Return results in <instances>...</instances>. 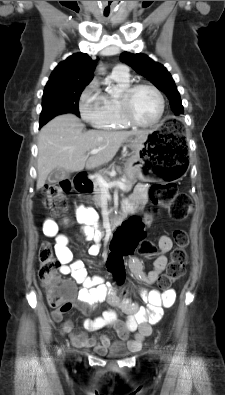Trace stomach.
Masks as SVG:
<instances>
[{
    "label": "stomach",
    "instance_id": "0dacf381",
    "mask_svg": "<svg viewBox=\"0 0 225 395\" xmlns=\"http://www.w3.org/2000/svg\"><path fill=\"white\" fill-rule=\"evenodd\" d=\"M159 139L157 130H154L145 140L140 137L130 140L133 155L125 165L128 178L158 182L178 179L183 175L185 164L180 163L176 155L169 156Z\"/></svg>",
    "mask_w": 225,
    "mask_h": 395
}]
</instances>
